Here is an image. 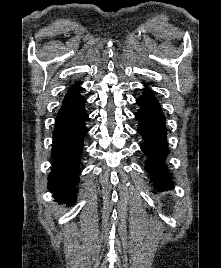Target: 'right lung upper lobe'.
I'll return each mask as SVG.
<instances>
[{"instance_id":"obj_1","label":"right lung upper lobe","mask_w":221,"mask_h":268,"mask_svg":"<svg viewBox=\"0 0 221 268\" xmlns=\"http://www.w3.org/2000/svg\"><path fill=\"white\" fill-rule=\"evenodd\" d=\"M76 86H74V88H70L64 98V100L66 99H71V98H75L79 95L78 91L75 89Z\"/></svg>"}]
</instances>
